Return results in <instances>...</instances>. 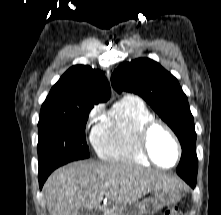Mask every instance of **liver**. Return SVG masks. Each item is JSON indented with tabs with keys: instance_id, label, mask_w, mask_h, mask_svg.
I'll use <instances>...</instances> for the list:
<instances>
[{
	"instance_id": "liver-1",
	"label": "liver",
	"mask_w": 221,
	"mask_h": 215,
	"mask_svg": "<svg viewBox=\"0 0 221 215\" xmlns=\"http://www.w3.org/2000/svg\"><path fill=\"white\" fill-rule=\"evenodd\" d=\"M184 187L174 176L129 163L78 161L54 171L43 190L49 215H79L104 196L124 206L154 190Z\"/></svg>"
}]
</instances>
